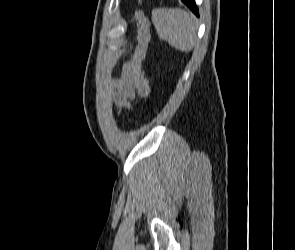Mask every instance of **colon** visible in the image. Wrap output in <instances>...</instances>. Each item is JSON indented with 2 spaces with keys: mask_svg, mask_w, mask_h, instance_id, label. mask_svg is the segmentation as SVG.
Wrapping results in <instances>:
<instances>
[{
  "mask_svg": "<svg viewBox=\"0 0 295 250\" xmlns=\"http://www.w3.org/2000/svg\"><path fill=\"white\" fill-rule=\"evenodd\" d=\"M149 26L147 18L141 14L136 15V43L122 71V78L131 83L144 98H149L151 93V87L142 72V63L150 40Z\"/></svg>",
  "mask_w": 295,
  "mask_h": 250,
  "instance_id": "5ec220e1",
  "label": "colon"
}]
</instances>
